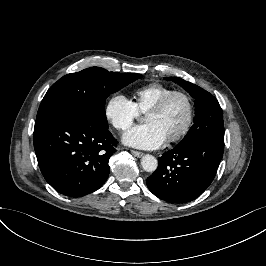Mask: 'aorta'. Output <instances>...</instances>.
Returning a JSON list of instances; mask_svg holds the SVG:
<instances>
[{
	"label": "aorta",
	"instance_id": "1",
	"mask_svg": "<svg viewBox=\"0 0 266 266\" xmlns=\"http://www.w3.org/2000/svg\"><path fill=\"white\" fill-rule=\"evenodd\" d=\"M141 117H138L136 120H140ZM141 167L145 172L152 173L156 171L158 167V161L157 159L152 155H145L141 159Z\"/></svg>",
	"mask_w": 266,
	"mask_h": 266
}]
</instances>
